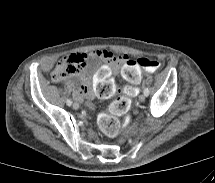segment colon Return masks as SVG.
<instances>
[{
  "mask_svg": "<svg viewBox=\"0 0 215 183\" xmlns=\"http://www.w3.org/2000/svg\"><path fill=\"white\" fill-rule=\"evenodd\" d=\"M160 66L161 64L159 61L148 58L128 60L123 65L122 77L127 82L124 88V95L116 97L109 104L107 111L99 116V126L106 135L114 136L118 133L120 128L118 117L127 113L129 109V97H133L137 93L135 85L140 81V69L154 72L157 71ZM70 73L71 71L68 66L59 64L54 73V79H61L68 76Z\"/></svg>",
  "mask_w": 215,
  "mask_h": 183,
  "instance_id": "obj_1",
  "label": "colon"
}]
</instances>
